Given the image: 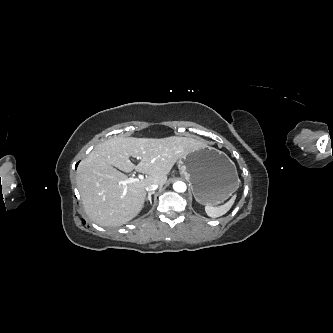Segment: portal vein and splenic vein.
<instances>
[{"label":"portal vein and splenic vein","instance_id":"portal-vein-and-splenic-vein-1","mask_svg":"<svg viewBox=\"0 0 333 333\" xmlns=\"http://www.w3.org/2000/svg\"><path fill=\"white\" fill-rule=\"evenodd\" d=\"M138 159V158H137ZM139 177V179H144V176L143 175H139L138 176ZM136 179H134V178H132V179H127V180H125V181H122V184H124V185H126V184H128V183H132V182H134Z\"/></svg>","mask_w":333,"mask_h":333}]
</instances>
